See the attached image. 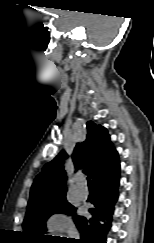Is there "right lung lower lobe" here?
Masks as SVG:
<instances>
[{"label":"right lung lower lobe","instance_id":"98d812e1","mask_svg":"<svg viewBox=\"0 0 154 243\" xmlns=\"http://www.w3.org/2000/svg\"><path fill=\"white\" fill-rule=\"evenodd\" d=\"M120 165L110 174L93 182L95 198L91 217L74 215V222L81 234L80 240L66 238L50 239L51 243H106V235L111 227L114 205L118 199ZM103 222V223H101Z\"/></svg>","mask_w":154,"mask_h":243}]
</instances>
